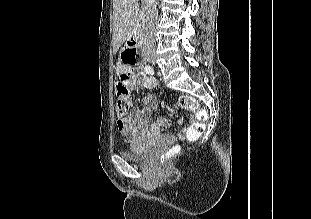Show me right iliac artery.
<instances>
[{
    "mask_svg": "<svg viewBox=\"0 0 311 219\" xmlns=\"http://www.w3.org/2000/svg\"><path fill=\"white\" fill-rule=\"evenodd\" d=\"M145 71H146V73H148V74H151V75L154 74V70H153V68H152L150 65H146V66H145Z\"/></svg>",
    "mask_w": 311,
    "mask_h": 219,
    "instance_id": "82829eb1",
    "label": "right iliac artery"
}]
</instances>
